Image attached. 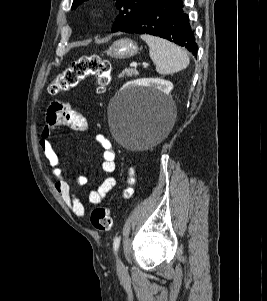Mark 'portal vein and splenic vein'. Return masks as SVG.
I'll return each instance as SVG.
<instances>
[{"label": "portal vein and splenic vein", "mask_w": 267, "mask_h": 301, "mask_svg": "<svg viewBox=\"0 0 267 301\" xmlns=\"http://www.w3.org/2000/svg\"><path fill=\"white\" fill-rule=\"evenodd\" d=\"M137 65H138V64L135 63V62L130 64L131 67H135V68L137 67ZM143 66L146 67L147 64H146V63H143Z\"/></svg>", "instance_id": "portal-vein-and-splenic-vein-1"}]
</instances>
